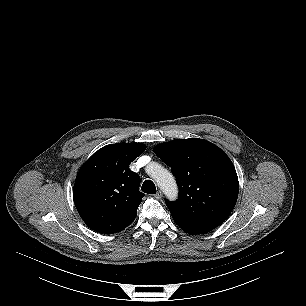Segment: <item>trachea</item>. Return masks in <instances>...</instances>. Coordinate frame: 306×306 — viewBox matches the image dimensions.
I'll return each mask as SVG.
<instances>
[{"mask_svg": "<svg viewBox=\"0 0 306 306\" xmlns=\"http://www.w3.org/2000/svg\"><path fill=\"white\" fill-rule=\"evenodd\" d=\"M141 190L147 194H155L156 187L155 184L151 180H145L142 184Z\"/></svg>", "mask_w": 306, "mask_h": 306, "instance_id": "obj_1", "label": "trachea"}]
</instances>
